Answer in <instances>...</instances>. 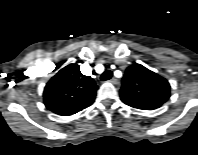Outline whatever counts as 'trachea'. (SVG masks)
<instances>
[{
	"label": "trachea",
	"mask_w": 198,
	"mask_h": 155,
	"mask_svg": "<svg viewBox=\"0 0 198 155\" xmlns=\"http://www.w3.org/2000/svg\"><path fill=\"white\" fill-rule=\"evenodd\" d=\"M111 77H112V72L110 70H107L102 73L100 78L102 81H106V80H109Z\"/></svg>",
	"instance_id": "1"
}]
</instances>
